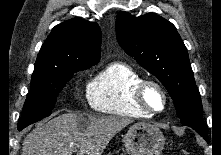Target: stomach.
Listing matches in <instances>:
<instances>
[{
  "label": "stomach",
  "mask_w": 221,
  "mask_h": 155,
  "mask_svg": "<svg viewBox=\"0 0 221 155\" xmlns=\"http://www.w3.org/2000/svg\"><path fill=\"white\" fill-rule=\"evenodd\" d=\"M123 142L129 155H161L165 138L158 127L137 123L129 128Z\"/></svg>",
  "instance_id": "stomach-1"
}]
</instances>
